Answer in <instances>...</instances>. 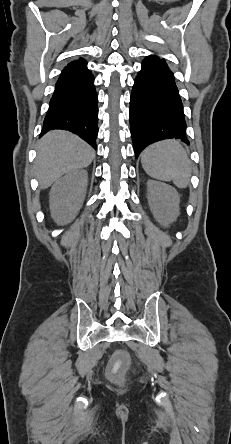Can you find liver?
I'll use <instances>...</instances> for the list:
<instances>
[{"label":"liver","mask_w":231,"mask_h":444,"mask_svg":"<svg viewBox=\"0 0 231 444\" xmlns=\"http://www.w3.org/2000/svg\"><path fill=\"white\" fill-rule=\"evenodd\" d=\"M93 148L78 136L62 130L48 132L37 146L35 176L41 189L50 187L64 174L89 166Z\"/></svg>","instance_id":"1"}]
</instances>
